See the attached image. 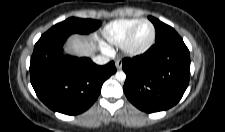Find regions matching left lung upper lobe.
<instances>
[{"label":"left lung upper lobe","mask_w":225,"mask_h":132,"mask_svg":"<svg viewBox=\"0 0 225 132\" xmlns=\"http://www.w3.org/2000/svg\"><path fill=\"white\" fill-rule=\"evenodd\" d=\"M149 17H151V16H149ZM154 26H155V30H156L155 43L179 36L172 27H170L162 22H159L158 24H155Z\"/></svg>","instance_id":"5c2ea615"}]
</instances>
